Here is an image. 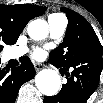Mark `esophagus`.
Here are the masks:
<instances>
[{
  "mask_svg": "<svg viewBox=\"0 0 103 103\" xmlns=\"http://www.w3.org/2000/svg\"><path fill=\"white\" fill-rule=\"evenodd\" d=\"M34 68H35L36 71H39V70L44 68V65L41 64V63H35Z\"/></svg>",
  "mask_w": 103,
  "mask_h": 103,
  "instance_id": "esophagus-1",
  "label": "esophagus"
}]
</instances>
